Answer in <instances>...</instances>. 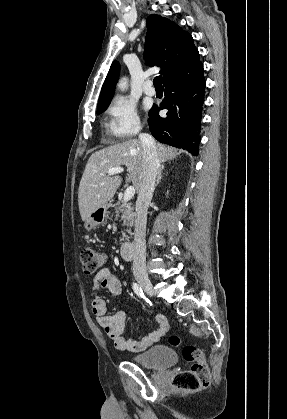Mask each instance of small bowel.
<instances>
[{
	"label": "small bowel",
	"mask_w": 287,
	"mask_h": 419,
	"mask_svg": "<svg viewBox=\"0 0 287 419\" xmlns=\"http://www.w3.org/2000/svg\"><path fill=\"white\" fill-rule=\"evenodd\" d=\"M100 287L109 290L116 297L120 296L122 290L120 280L109 267L99 270L93 277L92 291L97 292ZM91 306L97 323L104 329L118 350L142 352L163 338L170 328L167 318L159 314L156 317L158 326L155 330L139 339H126L123 336L126 327L124 312L118 311L107 315V304L102 298H94Z\"/></svg>",
	"instance_id": "small-bowel-1"
}]
</instances>
